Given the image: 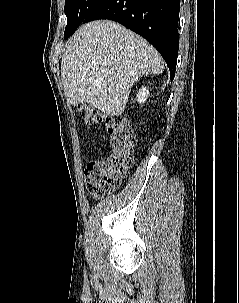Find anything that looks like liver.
Returning <instances> with one entry per match:
<instances>
[{
	"mask_svg": "<svg viewBox=\"0 0 239 303\" xmlns=\"http://www.w3.org/2000/svg\"><path fill=\"white\" fill-rule=\"evenodd\" d=\"M164 62L146 40L109 20L93 21L67 42L61 76L68 101L87 102L111 116L125 110L135 81L159 74Z\"/></svg>",
	"mask_w": 239,
	"mask_h": 303,
	"instance_id": "1",
	"label": "liver"
}]
</instances>
